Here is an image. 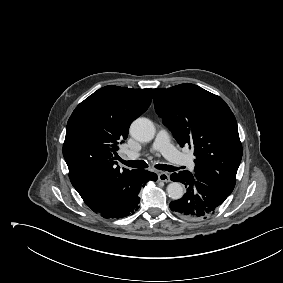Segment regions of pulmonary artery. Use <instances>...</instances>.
I'll return each instance as SVG.
<instances>
[{
	"mask_svg": "<svg viewBox=\"0 0 283 283\" xmlns=\"http://www.w3.org/2000/svg\"><path fill=\"white\" fill-rule=\"evenodd\" d=\"M152 149L159 151L169 161L178 165L186 166L190 171L194 170V161L190 155L183 154L178 151L170 142V137L165 129H160L153 142ZM140 156L138 152L127 151L124 155L125 159L133 160Z\"/></svg>",
	"mask_w": 283,
	"mask_h": 283,
	"instance_id": "1",
	"label": "pulmonary artery"
}]
</instances>
